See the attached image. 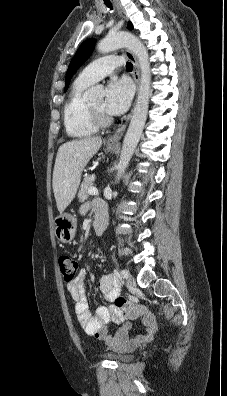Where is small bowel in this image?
Masks as SVG:
<instances>
[{
	"mask_svg": "<svg viewBox=\"0 0 227 396\" xmlns=\"http://www.w3.org/2000/svg\"><path fill=\"white\" fill-rule=\"evenodd\" d=\"M105 214L101 203L96 204V217ZM86 271L80 270L74 280L68 284V291L75 304V314L86 333L104 341L109 347L119 349L149 341L156 332V320L151 312L143 305L128 302L125 306L116 305L121 298V284L113 274H104L99 280V290L108 306H100L91 313L86 296ZM141 319L144 330L142 333L130 337V322ZM109 323L124 324L115 334L110 335L106 328Z\"/></svg>",
	"mask_w": 227,
	"mask_h": 396,
	"instance_id": "small-bowel-1",
	"label": "small bowel"
}]
</instances>
